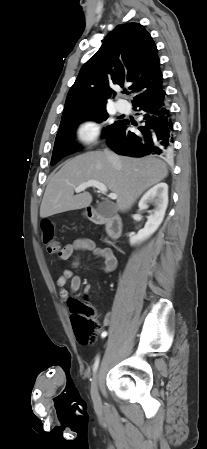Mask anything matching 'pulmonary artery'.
Listing matches in <instances>:
<instances>
[{
  "label": "pulmonary artery",
  "mask_w": 207,
  "mask_h": 449,
  "mask_svg": "<svg viewBox=\"0 0 207 449\" xmlns=\"http://www.w3.org/2000/svg\"><path fill=\"white\" fill-rule=\"evenodd\" d=\"M117 110L120 112H126L128 110V104L125 101H117L116 102Z\"/></svg>",
  "instance_id": "e3ab8cb5"
}]
</instances>
